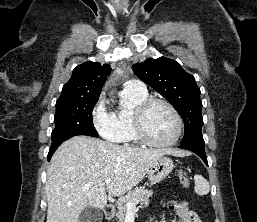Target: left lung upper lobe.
<instances>
[{
    "label": "left lung upper lobe",
    "instance_id": "5c2ea615",
    "mask_svg": "<svg viewBox=\"0 0 257 222\" xmlns=\"http://www.w3.org/2000/svg\"><path fill=\"white\" fill-rule=\"evenodd\" d=\"M132 69L143 82L167 99L183 118L185 134L180 146L205 147L200 89L193 75L184 71L175 60L165 57L137 63Z\"/></svg>",
    "mask_w": 257,
    "mask_h": 222
}]
</instances>
